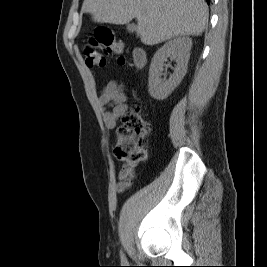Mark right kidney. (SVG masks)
<instances>
[{"mask_svg":"<svg viewBox=\"0 0 267 267\" xmlns=\"http://www.w3.org/2000/svg\"><path fill=\"white\" fill-rule=\"evenodd\" d=\"M192 40L189 37H178L165 43L156 51L152 58L149 69L148 91L156 100L166 99L180 84L187 72V64L190 57ZM175 60L177 65L169 79H162L164 66L167 58Z\"/></svg>","mask_w":267,"mask_h":267,"instance_id":"1","label":"right kidney"}]
</instances>
